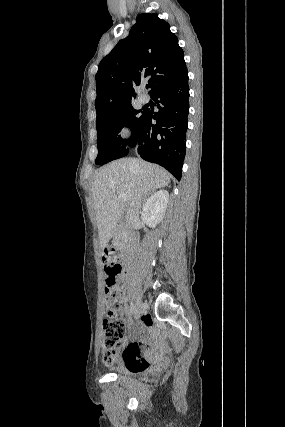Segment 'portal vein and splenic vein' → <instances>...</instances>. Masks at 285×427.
<instances>
[{
  "instance_id": "18ae733b",
  "label": "portal vein and splenic vein",
  "mask_w": 285,
  "mask_h": 427,
  "mask_svg": "<svg viewBox=\"0 0 285 427\" xmlns=\"http://www.w3.org/2000/svg\"><path fill=\"white\" fill-rule=\"evenodd\" d=\"M118 198L120 199L121 202H126V197L123 193H119Z\"/></svg>"
}]
</instances>
